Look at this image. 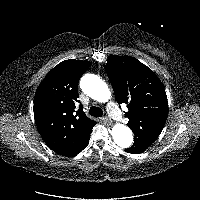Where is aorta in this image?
Masks as SVG:
<instances>
[{
	"instance_id": "obj_1",
	"label": "aorta",
	"mask_w": 200,
	"mask_h": 200,
	"mask_svg": "<svg viewBox=\"0 0 200 200\" xmlns=\"http://www.w3.org/2000/svg\"><path fill=\"white\" fill-rule=\"evenodd\" d=\"M80 87L85 94L99 102H106L111 96L107 84L95 74H85ZM111 134L115 144L122 149L129 148L133 143L132 131L126 125H114Z\"/></svg>"
}]
</instances>
